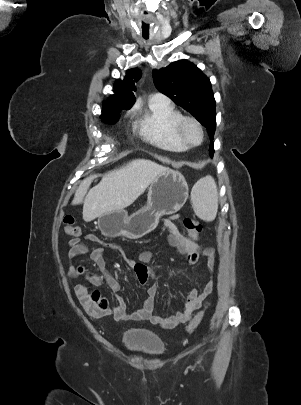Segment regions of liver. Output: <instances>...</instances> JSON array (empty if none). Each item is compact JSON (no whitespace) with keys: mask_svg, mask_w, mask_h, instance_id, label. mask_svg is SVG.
<instances>
[{"mask_svg":"<svg viewBox=\"0 0 301 405\" xmlns=\"http://www.w3.org/2000/svg\"><path fill=\"white\" fill-rule=\"evenodd\" d=\"M167 168L145 159H135L109 171L89 190L94 176L84 179L77 188L73 205L84 203L83 218L92 221L104 214L130 206Z\"/></svg>","mask_w":301,"mask_h":405,"instance_id":"1","label":"liver"}]
</instances>
